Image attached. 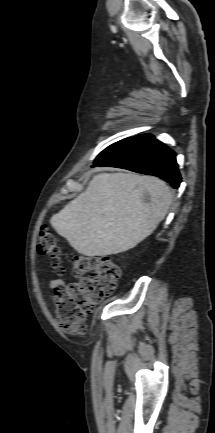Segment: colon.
Masks as SVG:
<instances>
[{
    "instance_id": "colon-1",
    "label": "colon",
    "mask_w": 215,
    "mask_h": 433,
    "mask_svg": "<svg viewBox=\"0 0 215 433\" xmlns=\"http://www.w3.org/2000/svg\"><path fill=\"white\" fill-rule=\"evenodd\" d=\"M37 249L50 259L57 273L64 272L56 237L46 225L40 227ZM73 274L80 280L55 288L53 302L59 328L68 333H81L95 306L115 289L121 271L107 256L79 255L73 259Z\"/></svg>"
}]
</instances>
